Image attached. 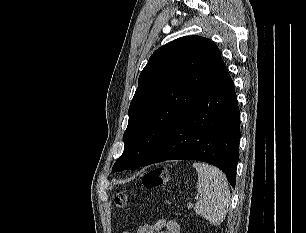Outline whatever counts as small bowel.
<instances>
[{
  "mask_svg": "<svg viewBox=\"0 0 306 233\" xmlns=\"http://www.w3.org/2000/svg\"><path fill=\"white\" fill-rule=\"evenodd\" d=\"M137 233H180V226L173 220L158 219L153 223L140 226Z\"/></svg>",
  "mask_w": 306,
  "mask_h": 233,
  "instance_id": "obj_1",
  "label": "small bowel"
}]
</instances>
